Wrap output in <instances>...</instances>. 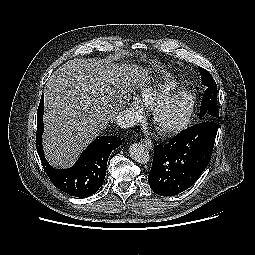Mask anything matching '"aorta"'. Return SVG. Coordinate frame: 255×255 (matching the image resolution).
Instances as JSON below:
<instances>
[{
    "mask_svg": "<svg viewBox=\"0 0 255 255\" xmlns=\"http://www.w3.org/2000/svg\"><path fill=\"white\" fill-rule=\"evenodd\" d=\"M130 157L141 164H145L149 161V152L148 150L139 143H134L129 147Z\"/></svg>",
    "mask_w": 255,
    "mask_h": 255,
    "instance_id": "762f6f07",
    "label": "aorta"
}]
</instances>
